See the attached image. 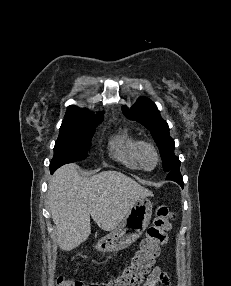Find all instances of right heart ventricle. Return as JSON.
I'll use <instances>...</instances> for the list:
<instances>
[{"instance_id": "1", "label": "right heart ventricle", "mask_w": 231, "mask_h": 286, "mask_svg": "<svg viewBox=\"0 0 231 286\" xmlns=\"http://www.w3.org/2000/svg\"><path fill=\"white\" fill-rule=\"evenodd\" d=\"M141 141L128 130L117 132L109 142L111 157L130 169H140L138 148Z\"/></svg>"}]
</instances>
